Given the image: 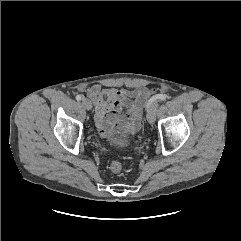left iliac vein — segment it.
I'll return each instance as SVG.
<instances>
[{
	"mask_svg": "<svg viewBox=\"0 0 241 241\" xmlns=\"http://www.w3.org/2000/svg\"><path fill=\"white\" fill-rule=\"evenodd\" d=\"M157 107H158V102L155 101L149 106L147 110L146 117L150 124H153L155 122Z\"/></svg>",
	"mask_w": 241,
	"mask_h": 241,
	"instance_id": "left-iliac-vein-1",
	"label": "left iliac vein"
}]
</instances>
